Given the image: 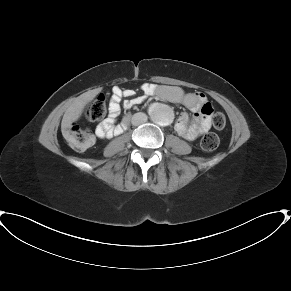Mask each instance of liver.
Listing matches in <instances>:
<instances>
[{"label": "liver", "mask_w": 291, "mask_h": 291, "mask_svg": "<svg viewBox=\"0 0 291 291\" xmlns=\"http://www.w3.org/2000/svg\"><path fill=\"white\" fill-rule=\"evenodd\" d=\"M100 91L101 88L93 89L75 98L63 116L61 123L62 131H65L73 122L80 118L87 103L92 101Z\"/></svg>", "instance_id": "liver-1"}]
</instances>
